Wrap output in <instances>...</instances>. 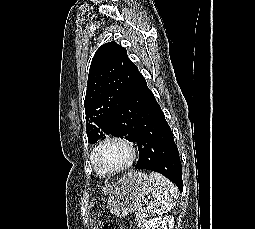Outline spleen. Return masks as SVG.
Instances as JSON below:
<instances>
[{"label": "spleen", "instance_id": "1", "mask_svg": "<svg viewBox=\"0 0 255 229\" xmlns=\"http://www.w3.org/2000/svg\"><path fill=\"white\" fill-rule=\"evenodd\" d=\"M151 191L154 199L147 206L152 214H163L172 210L175 206L177 188L163 175L151 172L149 174Z\"/></svg>", "mask_w": 255, "mask_h": 229}]
</instances>
